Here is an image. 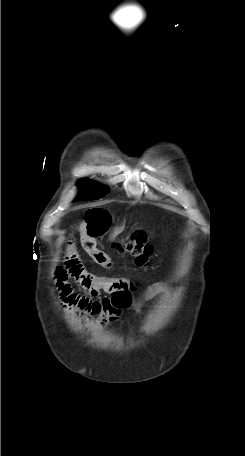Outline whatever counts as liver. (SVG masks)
<instances>
[{
	"label": "liver",
	"mask_w": 245,
	"mask_h": 456,
	"mask_svg": "<svg viewBox=\"0 0 245 456\" xmlns=\"http://www.w3.org/2000/svg\"><path fill=\"white\" fill-rule=\"evenodd\" d=\"M123 228V226L116 228L112 234V238H115L123 230Z\"/></svg>",
	"instance_id": "liver-1"
}]
</instances>
